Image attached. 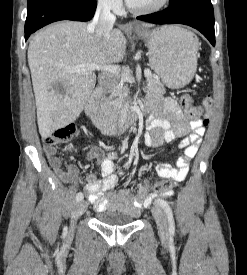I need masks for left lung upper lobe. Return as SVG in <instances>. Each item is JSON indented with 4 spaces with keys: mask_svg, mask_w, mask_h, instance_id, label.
I'll use <instances>...</instances> for the list:
<instances>
[{
    "mask_svg": "<svg viewBox=\"0 0 247 275\" xmlns=\"http://www.w3.org/2000/svg\"><path fill=\"white\" fill-rule=\"evenodd\" d=\"M181 1H183V0H170L169 5H173V4L179 3Z\"/></svg>",
    "mask_w": 247,
    "mask_h": 275,
    "instance_id": "obj_1",
    "label": "left lung upper lobe"
}]
</instances>
